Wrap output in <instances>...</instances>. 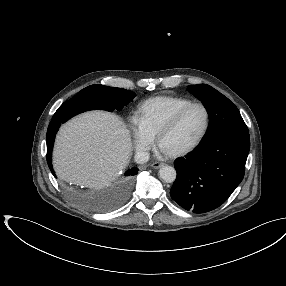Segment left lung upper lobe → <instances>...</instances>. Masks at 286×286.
Returning a JSON list of instances; mask_svg holds the SVG:
<instances>
[{
    "mask_svg": "<svg viewBox=\"0 0 286 286\" xmlns=\"http://www.w3.org/2000/svg\"><path fill=\"white\" fill-rule=\"evenodd\" d=\"M188 91L207 109L210 122L204 139L223 132H248L237 107L219 91L207 84L189 85Z\"/></svg>",
    "mask_w": 286,
    "mask_h": 286,
    "instance_id": "obj_1",
    "label": "left lung upper lobe"
}]
</instances>
